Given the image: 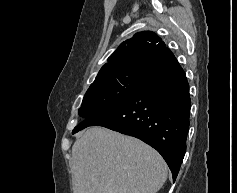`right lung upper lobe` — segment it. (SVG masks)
<instances>
[{"label": "right lung upper lobe", "mask_w": 237, "mask_h": 193, "mask_svg": "<svg viewBox=\"0 0 237 193\" xmlns=\"http://www.w3.org/2000/svg\"><path fill=\"white\" fill-rule=\"evenodd\" d=\"M171 52L158 35L150 31L136 33L121 43L99 71L95 81L130 72H145L163 54ZM94 81V82H95Z\"/></svg>", "instance_id": "obj_1"}]
</instances>
